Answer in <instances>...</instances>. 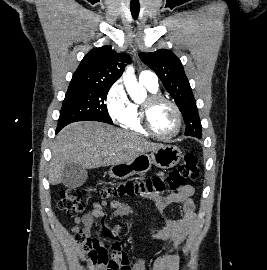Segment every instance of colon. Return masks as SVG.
Listing matches in <instances>:
<instances>
[{"label": "colon", "instance_id": "1", "mask_svg": "<svg viewBox=\"0 0 267 270\" xmlns=\"http://www.w3.org/2000/svg\"><path fill=\"white\" fill-rule=\"evenodd\" d=\"M200 170L197 156L193 153L184 155L181 164L173 170L166 179L155 177L143 181L126 182L108 187H72L61 192L59 208L68 216H75L83 212L87 198L91 193H98L101 197H116L132 194L150 195L164 192L166 190H177L185 186L187 181H195L199 178ZM76 240L84 255L93 265H100L107 270H126L127 257L119 259L110 258L100 239L86 231L76 234Z\"/></svg>", "mask_w": 267, "mask_h": 270}]
</instances>
